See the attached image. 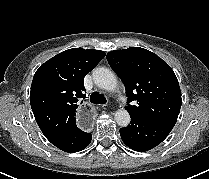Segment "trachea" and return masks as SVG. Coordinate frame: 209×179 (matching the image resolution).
<instances>
[{"instance_id":"3493384b","label":"trachea","mask_w":209,"mask_h":179,"mask_svg":"<svg viewBox=\"0 0 209 179\" xmlns=\"http://www.w3.org/2000/svg\"><path fill=\"white\" fill-rule=\"evenodd\" d=\"M90 101L94 104H105L107 102L104 95L96 91L91 94Z\"/></svg>"}]
</instances>
